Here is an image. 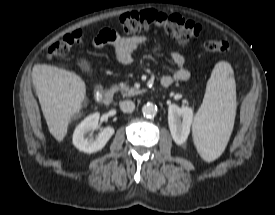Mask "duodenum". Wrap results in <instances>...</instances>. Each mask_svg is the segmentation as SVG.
<instances>
[{"label": "duodenum", "mask_w": 275, "mask_h": 215, "mask_svg": "<svg viewBox=\"0 0 275 215\" xmlns=\"http://www.w3.org/2000/svg\"><path fill=\"white\" fill-rule=\"evenodd\" d=\"M163 86H168V84H164ZM114 95L113 88L100 89L96 92V99L99 103H109Z\"/></svg>", "instance_id": "1"}]
</instances>
